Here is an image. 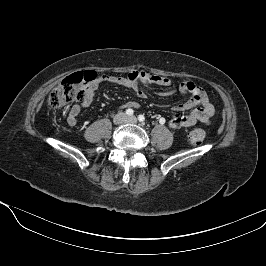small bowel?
Returning <instances> with one entry per match:
<instances>
[{
	"instance_id": "small-bowel-1",
	"label": "small bowel",
	"mask_w": 266,
	"mask_h": 266,
	"mask_svg": "<svg viewBox=\"0 0 266 266\" xmlns=\"http://www.w3.org/2000/svg\"><path fill=\"white\" fill-rule=\"evenodd\" d=\"M108 82L117 84L129 89H132L139 98H146V92L141 88L144 85H158L168 88L171 85V80L167 77L148 73L145 71H132L127 76H112L101 75L94 82H92L85 91L84 99L80 104L73 105L67 116V122L70 126L74 127L77 124V117L83 108L89 107L96 95L100 83ZM176 93L189 95V99L173 107L175 112H183L189 110V113L174 117L169 121V126L173 129H179L182 127H190L197 122L208 124L214 114V106L209 100L206 92L191 81H185L181 83L177 88L166 89L159 94L168 96ZM122 107L137 108L139 104L134 101L125 103Z\"/></svg>"
}]
</instances>
